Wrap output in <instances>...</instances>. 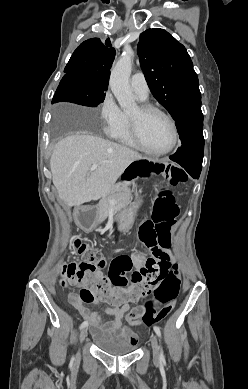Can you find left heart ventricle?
<instances>
[{"label":"left heart ventricle","instance_id":"left-heart-ventricle-1","mask_svg":"<svg viewBox=\"0 0 248 389\" xmlns=\"http://www.w3.org/2000/svg\"><path fill=\"white\" fill-rule=\"evenodd\" d=\"M130 115L138 116L139 108L136 107ZM140 133L146 146L152 150H163L172 141V129L169 122L155 112L140 117Z\"/></svg>","mask_w":248,"mask_h":389}]
</instances>
